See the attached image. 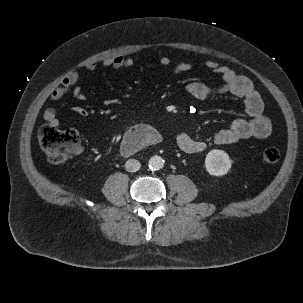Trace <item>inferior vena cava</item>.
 <instances>
[{
  "label": "inferior vena cava",
  "instance_id": "602c4592",
  "mask_svg": "<svg viewBox=\"0 0 303 303\" xmlns=\"http://www.w3.org/2000/svg\"><path fill=\"white\" fill-rule=\"evenodd\" d=\"M140 167H141V164L136 159H129L125 163V169L128 172H136V171H138L140 169Z\"/></svg>",
  "mask_w": 303,
  "mask_h": 303
}]
</instances>
